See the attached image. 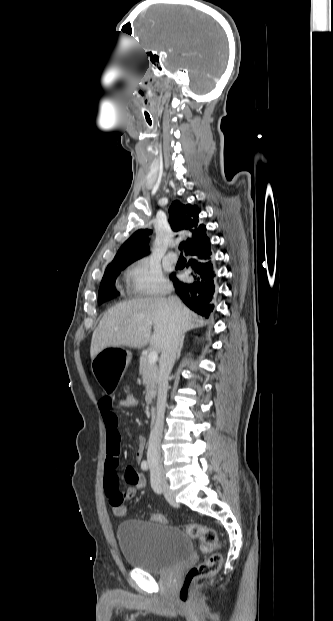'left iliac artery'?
I'll use <instances>...</instances> for the list:
<instances>
[{
  "instance_id": "1",
  "label": "left iliac artery",
  "mask_w": 333,
  "mask_h": 621,
  "mask_svg": "<svg viewBox=\"0 0 333 621\" xmlns=\"http://www.w3.org/2000/svg\"><path fill=\"white\" fill-rule=\"evenodd\" d=\"M151 485L154 488V490H158V485H157L156 481L151 480Z\"/></svg>"
}]
</instances>
